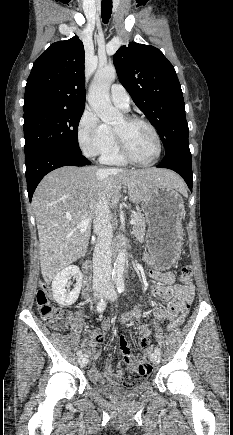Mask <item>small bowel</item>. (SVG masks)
I'll return each instance as SVG.
<instances>
[{
  "mask_svg": "<svg viewBox=\"0 0 233 435\" xmlns=\"http://www.w3.org/2000/svg\"><path fill=\"white\" fill-rule=\"evenodd\" d=\"M149 276L152 280L158 283L151 284L149 286L148 299L152 304L154 299L164 301L160 306H154V316L158 321L165 319L172 320L171 325L174 323L178 315L180 307L184 303L191 304L194 297L193 286L184 287L175 282L176 274L174 272H162L155 269L149 270ZM142 316V312L139 309H134L128 313L123 314L120 317L122 323H129L133 318ZM101 332H97L94 329H88L85 333V337L82 341V346L90 356L89 362V374L92 380L97 384H103L104 382H122L124 380L122 363H119L117 369H113L111 365L112 356L108 355L104 363V372H100L96 367V361L100 355V347L104 341L106 332L111 328V322L108 319H104L101 322ZM140 345L143 349L142 354L136 358L131 353V346L128 340L122 336L119 339L120 350L124 355L123 362L127 365L130 371H137L139 364L144 362V359L149 354L148 342L150 336V329L147 326H140L138 328ZM95 338V342L92 343L91 339ZM149 374V371H144L138 374L139 379H145ZM130 380V378L128 379Z\"/></svg>",
  "mask_w": 233,
  "mask_h": 435,
  "instance_id": "c3829d8e",
  "label": "small bowel"
}]
</instances>
